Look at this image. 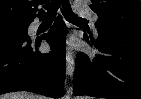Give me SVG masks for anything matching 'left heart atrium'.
I'll return each instance as SVG.
<instances>
[{
  "mask_svg": "<svg viewBox=\"0 0 141 99\" xmlns=\"http://www.w3.org/2000/svg\"><path fill=\"white\" fill-rule=\"evenodd\" d=\"M71 44V42H68V45H70Z\"/></svg>",
  "mask_w": 141,
  "mask_h": 99,
  "instance_id": "1",
  "label": "left heart atrium"
}]
</instances>
